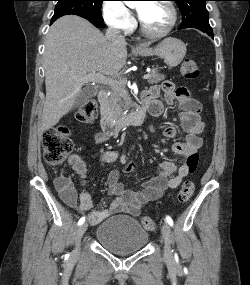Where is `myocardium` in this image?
<instances>
[{"mask_svg":"<svg viewBox=\"0 0 250 285\" xmlns=\"http://www.w3.org/2000/svg\"><path fill=\"white\" fill-rule=\"evenodd\" d=\"M160 3H163L164 5H166L171 13V21L169 25L162 32L154 33V32L147 30L142 20L139 19V28H140L141 33L145 37L150 38V39H162L168 36L171 33V31L175 28L177 21H178V12H177V9L174 3L171 2L170 0H163Z\"/></svg>","mask_w":250,"mask_h":285,"instance_id":"obj_1","label":"myocardium"}]
</instances>
